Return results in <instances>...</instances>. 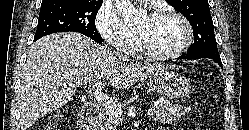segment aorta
<instances>
[{
	"mask_svg": "<svg viewBox=\"0 0 249 130\" xmlns=\"http://www.w3.org/2000/svg\"><path fill=\"white\" fill-rule=\"evenodd\" d=\"M115 5L127 22L136 21L141 14V12L133 6L130 0H115Z\"/></svg>",
	"mask_w": 249,
	"mask_h": 130,
	"instance_id": "762f6f07",
	"label": "aorta"
}]
</instances>
